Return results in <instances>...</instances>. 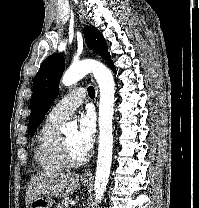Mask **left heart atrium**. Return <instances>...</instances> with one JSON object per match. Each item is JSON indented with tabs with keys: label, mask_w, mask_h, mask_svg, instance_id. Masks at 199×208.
Listing matches in <instances>:
<instances>
[{
	"label": "left heart atrium",
	"mask_w": 199,
	"mask_h": 208,
	"mask_svg": "<svg viewBox=\"0 0 199 208\" xmlns=\"http://www.w3.org/2000/svg\"><path fill=\"white\" fill-rule=\"evenodd\" d=\"M95 121L91 113L78 118L77 147L86 155L94 143Z\"/></svg>",
	"instance_id": "1"
}]
</instances>
